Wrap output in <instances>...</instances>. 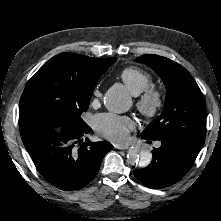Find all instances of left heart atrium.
Masks as SVG:
<instances>
[{
	"instance_id": "left-heart-atrium-1",
	"label": "left heart atrium",
	"mask_w": 221,
	"mask_h": 221,
	"mask_svg": "<svg viewBox=\"0 0 221 221\" xmlns=\"http://www.w3.org/2000/svg\"><path fill=\"white\" fill-rule=\"evenodd\" d=\"M134 126L130 117L114 113H101L94 118L97 133L112 142H124Z\"/></svg>"
}]
</instances>
